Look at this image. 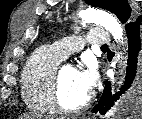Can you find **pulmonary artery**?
<instances>
[{
  "instance_id": "e3ab8cb5",
  "label": "pulmonary artery",
  "mask_w": 142,
  "mask_h": 119,
  "mask_svg": "<svg viewBox=\"0 0 142 119\" xmlns=\"http://www.w3.org/2000/svg\"><path fill=\"white\" fill-rule=\"evenodd\" d=\"M87 43L91 46H102L112 43L111 36L103 29L95 28L85 36L69 37L54 42L51 47L62 59L78 52Z\"/></svg>"
}]
</instances>
